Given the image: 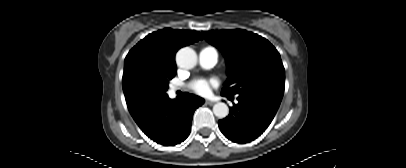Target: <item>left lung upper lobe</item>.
I'll return each instance as SVG.
<instances>
[{"instance_id": "5c2ea615", "label": "left lung upper lobe", "mask_w": 406, "mask_h": 168, "mask_svg": "<svg viewBox=\"0 0 406 168\" xmlns=\"http://www.w3.org/2000/svg\"><path fill=\"white\" fill-rule=\"evenodd\" d=\"M205 39L224 54L228 81L221 94L271 95L282 98L285 69L280 54L265 38L246 30L202 32Z\"/></svg>"}]
</instances>
